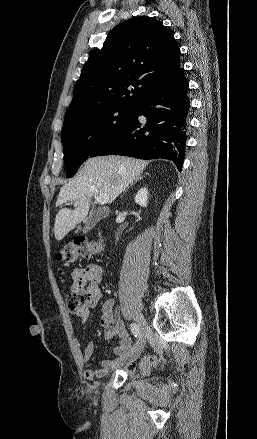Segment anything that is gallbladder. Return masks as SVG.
<instances>
[{
  "instance_id": "bac80fb5",
  "label": "gallbladder",
  "mask_w": 257,
  "mask_h": 439,
  "mask_svg": "<svg viewBox=\"0 0 257 439\" xmlns=\"http://www.w3.org/2000/svg\"><path fill=\"white\" fill-rule=\"evenodd\" d=\"M99 219L100 216L97 213L92 212L89 215V217L86 219L84 232L92 229L95 226V224L99 221Z\"/></svg>"
}]
</instances>
